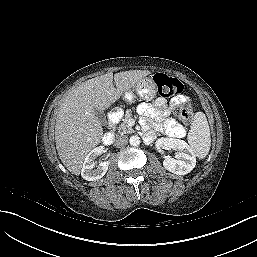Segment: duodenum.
Masks as SVG:
<instances>
[{"mask_svg": "<svg viewBox=\"0 0 257 257\" xmlns=\"http://www.w3.org/2000/svg\"><path fill=\"white\" fill-rule=\"evenodd\" d=\"M118 120H119V117H118L117 111L109 116L110 130L107 133H105V135L102 138V141L105 145H110L113 143V141L115 139L114 127L117 124Z\"/></svg>", "mask_w": 257, "mask_h": 257, "instance_id": "1", "label": "duodenum"}]
</instances>
